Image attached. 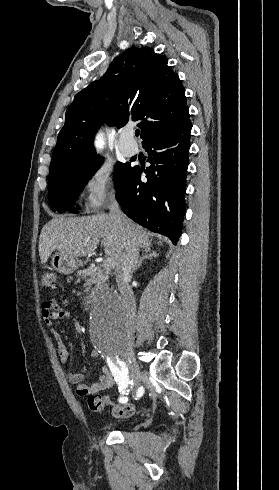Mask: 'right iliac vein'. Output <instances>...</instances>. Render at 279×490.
Listing matches in <instances>:
<instances>
[{"label": "right iliac vein", "instance_id": "right-iliac-vein-1", "mask_svg": "<svg viewBox=\"0 0 279 490\" xmlns=\"http://www.w3.org/2000/svg\"><path fill=\"white\" fill-rule=\"evenodd\" d=\"M120 358L122 361H124L127 364L131 375L135 377L139 375L140 367L136 362L135 358L132 356L131 351L129 352V354L120 355Z\"/></svg>", "mask_w": 279, "mask_h": 490}]
</instances>
